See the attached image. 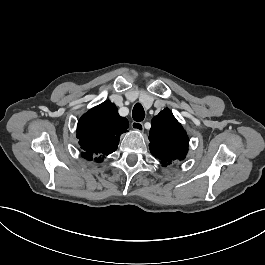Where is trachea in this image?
Returning <instances> with one entry per match:
<instances>
[{"label": "trachea", "instance_id": "3493384b", "mask_svg": "<svg viewBox=\"0 0 265 265\" xmlns=\"http://www.w3.org/2000/svg\"><path fill=\"white\" fill-rule=\"evenodd\" d=\"M132 117L137 122H140L145 118V111L141 104L139 103L135 104L133 111H132Z\"/></svg>", "mask_w": 265, "mask_h": 265}]
</instances>
